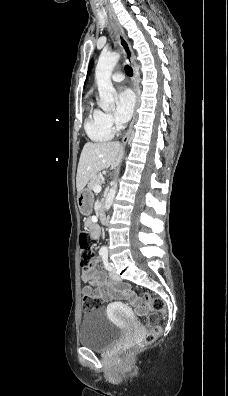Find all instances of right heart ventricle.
<instances>
[{
  "label": "right heart ventricle",
  "instance_id": "obj_1",
  "mask_svg": "<svg viewBox=\"0 0 228 396\" xmlns=\"http://www.w3.org/2000/svg\"><path fill=\"white\" fill-rule=\"evenodd\" d=\"M88 137L95 142H105L112 139L114 129L108 127L103 119V112L91 108L84 125Z\"/></svg>",
  "mask_w": 228,
  "mask_h": 396
}]
</instances>
